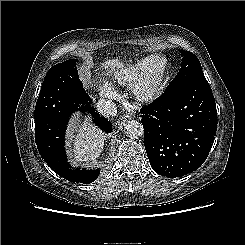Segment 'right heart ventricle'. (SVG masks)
<instances>
[{
	"label": "right heart ventricle",
	"mask_w": 245,
	"mask_h": 245,
	"mask_svg": "<svg viewBox=\"0 0 245 245\" xmlns=\"http://www.w3.org/2000/svg\"><path fill=\"white\" fill-rule=\"evenodd\" d=\"M149 57L141 58L134 63L119 68L112 75V82L122 85L130 86L136 82L141 75Z\"/></svg>",
	"instance_id": "e07e8e85"
}]
</instances>
